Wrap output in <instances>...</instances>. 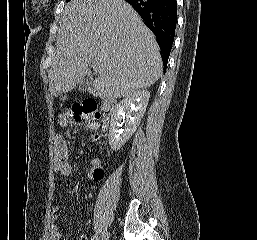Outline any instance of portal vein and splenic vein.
Wrapping results in <instances>:
<instances>
[{"instance_id": "portal-vein-and-splenic-vein-1", "label": "portal vein and splenic vein", "mask_w": 257, "mask_h": 240, "mask_svg": "<svg viewBox=\"0 0 257 240\" xmlns=\"http://www.w3.org/2000/svg\"><path fill=\"white\" fill-rule=\"evenodd\" d=\"M93 68L95 69V71H99L100 70V67H99V64L98 63H95L93 65Z\"/></svg>"}]
</instances>
